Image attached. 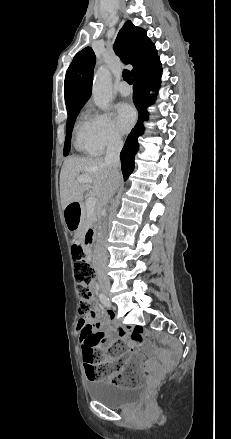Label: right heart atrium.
Segmentation results:
<instances>
[{
	"label": "right heart atrium",
	"mask_w": 231,
	"mask_h": 439,
	"mask_svg": "<svg viewBox=\"0 0 231 439\" xmlns=\"http://www.w3.org/2000/svg\"><path fill=\"white\" fill-rule=\"evenodd\" d=\"M86 121L88 138L98 153L122 144V135L109 114L90 109Z\"/></svg>",
	"instance_id": "d8ad5b80"
}]
</instances>
